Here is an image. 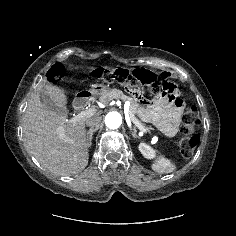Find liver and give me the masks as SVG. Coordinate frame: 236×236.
I'll list each match as a JSON object with an SVG mask.
<instances>
[{"label": "liver", "instance_id": "1", "mask_svg": "<svg viewBox=\"0 0 236 236\" xmlns=\"http://www.w3.org/2000/svg\"><path fill=\"white\" fill-rule=\"evenodd\" d=\"M40 91H45L58 107L66 110L65 91L43 80L31 95L23 115L26 148L54 174L78 173L87 166L89 159L85 129L87 118L70 123L61 114L45 107L38 95ZM60 130L64 138L60 137Z\"/></svg>", "mask_w": 236, "mask_h": 236}]
</instances>
